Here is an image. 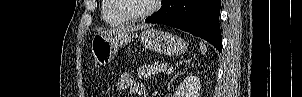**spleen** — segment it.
Wrapping results in <instances>:
<instances>
[{"instance_id": "1", "label": "spleen", "mask_w": 302, "mask_h": 97, "mask_svg": "<svg viewBox=\"0 0 302 97\" xmlns=\"http://www.w3.org/2000/svg\"><path fill=\"white\" fill-rule=\"evenodd\" d=\"M199 45H200L201 53H202L203 55H205L206 52H207V48H206L205 44H203L202 42H200Z\"/></svg>"}]
</instances>
